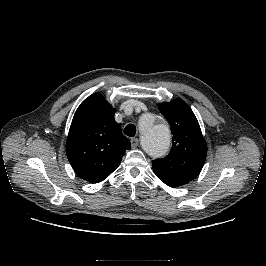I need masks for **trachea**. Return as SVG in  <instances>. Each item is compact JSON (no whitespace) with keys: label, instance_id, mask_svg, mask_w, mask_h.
I'll return each mask as SVG.
<instances>
[{"label":"trachea","instance_id":"3493384b","mask_svg":"<svg viewBox=\"0 0 266 266\" xmlns=\"http://www.w3.org/2000/svg\"><path fill=\"white\" fill-rule=\"evenodd\" d=\"M124 133L125 135L129 136V137H133L136 134V127L133 124H128L125 128H124Z\"/></svg>","mask_w":266,"mask_h":266}]
</instances>
